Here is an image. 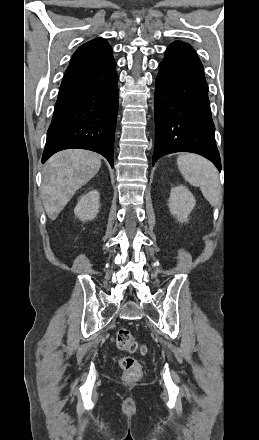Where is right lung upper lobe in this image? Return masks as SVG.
I'll return each mask as SVG.
<instances>
[{
	"label": "right lung upper lobe",
	"instance_id": "right-lung-upper-lobe-1",
	"mask_svg": "<svg viewBox=\"0 0 259 440\" xmlns=\"http://www.w3.org/2000/svg\"><path fill=\"white\" fill-rule=\"evenodd\" d=\"M112 55V48L102 38L91 40L80 46L73 54L70 66L90 64Z\"/></svg>",
	"mask_w": 259,
	"mask_h": 440
}]
</instances>
